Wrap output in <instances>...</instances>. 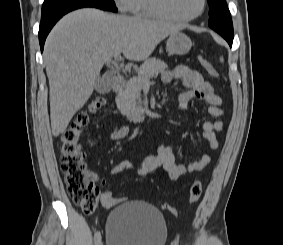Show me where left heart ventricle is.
Listing matches in <instances>:
<instances>
[{
  "label": "left heart ventricle",
  "mask_w": 283,
  "mask_h": 245,
  "mask_svg": "<svg viewBox=\"0 0 283 245\" xmlns=\"http://www.w3.org/2000/svg\"><path fill=\"white\" fill-rule=\"evenodd\" d=\"M169 11L178 17L195 15L201 7V0H167Z\"/></svg>",
  "instance_id": "1"
}]
</instances>
